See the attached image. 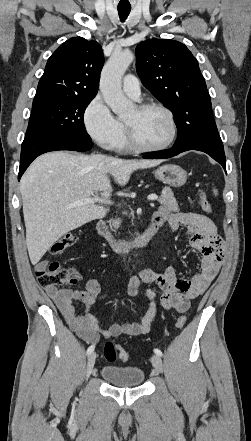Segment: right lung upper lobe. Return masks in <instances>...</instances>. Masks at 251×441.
Instances as JSON below:
<instances>
[{
	"label": "right lung upper lobe",
	"mask_w": 251,
	"mask_h": 441,
	"mask_svg": "<svg viewBox=\"0 0 251 441\" xmlns=\"http://www.w3.org/2000/svg\"><path fill=\"white\" fill-rule=\"evenodd\" d=\"M103 64L98 42L82 37L67 40L48 59L34 101L95 97Z\"/></svg>",
	"instance_id": "1"
}]
</instances>
